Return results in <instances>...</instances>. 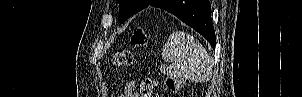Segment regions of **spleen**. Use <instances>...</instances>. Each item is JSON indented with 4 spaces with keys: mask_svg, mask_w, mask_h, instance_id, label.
I'll return each instance as SVG.
<instances>
[{
    "mask_svg": "<svg viewBox=\"0 0 302 97\" xmlns=\"http://www.w3.org/2000/svg\"><path fill=\"white\" fill-rule=\"evenodd\" d=\"M163 59L170 63L161 65L163 73L183 77L192 82H205L212 75V61L199 41L192 35L175 31L162 49Z\"/></svg>",
    "mask_w": 302,
    "mask_h": 97,
    "instance_id": "spleen-1",
    "label": "spleen"
}]
</instances>
